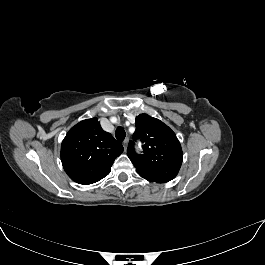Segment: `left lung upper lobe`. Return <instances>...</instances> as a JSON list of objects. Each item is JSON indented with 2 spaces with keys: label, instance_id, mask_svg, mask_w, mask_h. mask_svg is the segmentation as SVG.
<instances>
[{
  "label": "left lung upper lobe",
  "instance_id": "obj_1",
  "mask_svg": "<svg viewBox=\"0 0 265 265\" xmlns=\"http://www.w3.org/2000/svg\"><path fill=\"white\" fill-rule=\"evenodd\" d=\"M133 141L127 155L137 173L151 182L165 183L176 177L182 164L183 153L175 133L162 121L147 114L136 117ZM140 140L143 154H137L135 141Z\"/></svg>",
  "mask_w": 265,
  "mask_h": 265
}]
</instances>
